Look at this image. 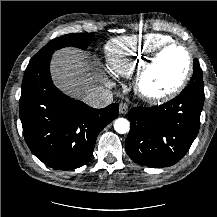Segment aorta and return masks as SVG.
Wrapping results in <instances>:
<instances>
[{
	"label": "aorta",
	"mask_w": 217,
	"mask_h": 217,
	"mask_svg": "<svg viewBox=\"0 0 217 217\" xmlns=\"http://www.w3.org/2000/svg\"><path fill=\"white\" fill-rule=\"evenodd\" d=\"M114 129L119 134H125L130 130V123L125 118H118L114 122Z\"/></svg>",
	"instance_id": "762f6f07"
}]
</instances>
